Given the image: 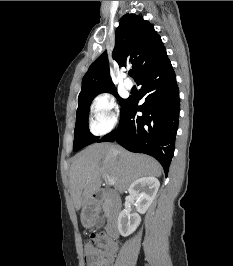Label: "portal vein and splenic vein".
<instances>
[{"instance_id":"1","label":"portal vein and splenic vein","mask_w":233,"mask_h":266,"mask_svg":"<svg viewBox=\"0 0 233 266\" xmlns=\"http://www.w3.org/2000/svg\"><path fill=\"white\" fill-rule=\"evenodd\" d=\"M105 180L110 185H115V183H116L115 179H113L111 177H105Z\"/></svg>"}]
</instances>
